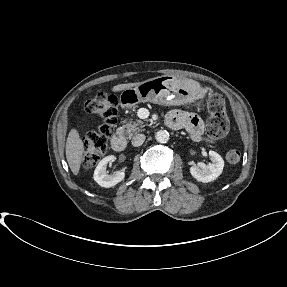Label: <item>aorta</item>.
I'll use <instances>...</instances> for the list:
<instances>
[{
    "label": "aorta",
    "instance_id": "1",
    "mask_svg": "<svg viewBox=\"0 0 287 287\" xmlns=\"http://www.w3.org/2000/svg\"><path fill=\"white\" fill-rule=\"evenodd\" d=\"M155 139L159 143H166L169 140V133L166 130H159L155 135Z\"/></svg>",
    "mask_w": 287,
    "mask_h": 287
}]
</instances>
